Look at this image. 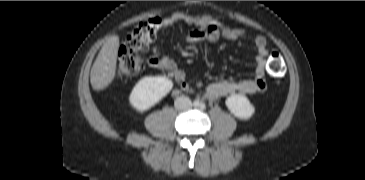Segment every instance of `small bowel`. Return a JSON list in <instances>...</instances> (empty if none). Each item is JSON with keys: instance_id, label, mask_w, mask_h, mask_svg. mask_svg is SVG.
<instances>
[{"instance_id": "small-bowel-1", "label": "small bowel", "mask_w": 365, "mask_h": 180, "mask_svg": "<svg viewBox=\"0 0 365 180\" xmlns=\"http://www.w3.org/2000/svg\"><path fill=\"white\" fill-rule=\"evenodd\" d=\"M185 23L193 25L196 29L190 31L186 37L187 41L192 44L204 41L215 42L220 38L231 40L241 39L246 35L242 28H231L221 22H218L210 16H192L186 13L177 12L161 21V28L165 29ZM256 50V68L252 79L241 81H218L207 84L204 87V94L210 100H215L231 94L254 95L262 93L267 88L265 80L266 58L268 55L267 41L262 35H257L253 39ZM152 56L147 59V64L159 70L168 71L172 74L175 81L180 84L181 89L185 91L192 90V86L185 80V73L178 67L176 62L169 57L161 56V51L153 41L151 42ZM196 86H201L197 83Z\"/></svg>"}]
</instances>
